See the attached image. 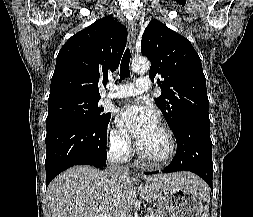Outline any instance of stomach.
I'll return each instance as SVG.
<instances>
[{
	"mask_svg": "<svg viewBox=\"0 0 253 217\" xmlns=\"http://www.w3.org/2000/svg\"><path fill=\"white\" fill-rule=\"evenodd\" d=\"M156 193L161 217H202L204 197L200 190L166 184Z\"/></svg>",
	"mask_w": 253,
	"mask_h": 217,
	"instance_id": "1",
	"label": "stomach"
}]
</instances>
